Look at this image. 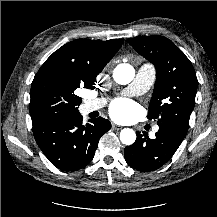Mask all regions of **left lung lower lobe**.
I'll use <instances>...</instances> for the list:
<instances>
[{"mask_svg": "<svg viewBox=\"0 0 217 217\" xmlns=\"http://www.w3.org/2000/svg\"><path fill=\"white\" fill-rule=\"evenodd\" d=\"M187 131L172 124L159 125L154 139L137 132L135 143L124 150L125 160L130 167L141 172H150L167 163L183 141Z\"/></svg>", "mask_w": 217, "mask_h": 217, "instance_id": "obj_1", "label": "left lung lower lobe"}]
</instances>
